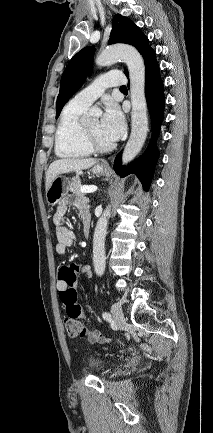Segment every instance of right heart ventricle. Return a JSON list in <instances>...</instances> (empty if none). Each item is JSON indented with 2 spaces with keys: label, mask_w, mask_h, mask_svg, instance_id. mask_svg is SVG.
<instances>
[{
  "label": "right heart ventricle",
  "mask_w": 213,
  "mask_h": 433,
  "mask_svg": "<svg viewBox=\"0 0 213 433\" xmlns=\"http://www.w3.org/2000/svg\"><path fill=\"white\" fill-rule=\"evenodd\" d=\"M85 107L69 102L63 109L55 134V152L62 158H81L92 154L86 145L80 117Z\"/></svg>",
  "instance_id": "obj_1"
}]
</instances>
